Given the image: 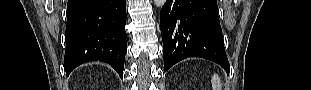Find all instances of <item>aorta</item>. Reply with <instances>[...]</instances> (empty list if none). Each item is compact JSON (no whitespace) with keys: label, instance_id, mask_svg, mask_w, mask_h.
Segmentation results:
<instances>
[{"label":"aorta","instance_id":"762f6f07","mask_svg":"<svg viewBox=\"0 0 311 90\" xmlns=\"http://www.w3.org/2000/svg\"><path fill=\"white\" fill-rule=\"evenodd\" d=\"M154 3L157 7H162L166 3V0H154Z\"/></svg>","mask_w":311,"mask_h":90}]
</instances>
